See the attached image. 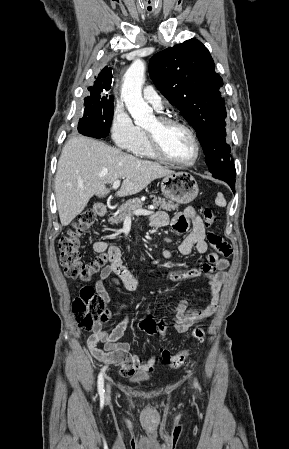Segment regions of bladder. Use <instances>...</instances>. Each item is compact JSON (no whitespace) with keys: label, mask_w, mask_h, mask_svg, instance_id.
I'll list each match as a JSON object with an SVG mask.
<instances>
[{"label":"bladder","mask_w":289,"mask_h":449,"mask_svg":"<svg viewBox=\"0 0 289 449\" xmlns=\"http://www.w3.org/2000/svg\"><path fill=\"white\" fill-rule=\"evenodd\" d=\"M147 380H148V376H146L145 374H140L133 378V381L136 383L146 382Z\"/></svg>","instance_id":"obj_1"}]
</instances>
